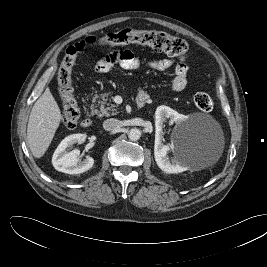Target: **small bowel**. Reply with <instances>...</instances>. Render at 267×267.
Listing matches in <instances>:
<instances>
[{
    "label": "small bowel",
    "mask_w": 267,
    "mask_h": 267,
    "mask_svg": "<svg viewBox=\"0 0 267 267\" xmlns=\"http://www.w3.org/2000/svg\"><path fill=\"white\" fill-rule=\"evenodd\" d=\"M174 65L170 58L151 60L147 67L153 71H165ZM120 66L127 70H136L141 66L139 59L129 50H112L96 62L94 70L98 74L109 72L113 67ZM188 67L185 64H177L174 69L170 90L173 92L182 91L187 85ZM146 94L143 90L139 94Z\"/></svg>",
    "instance_id": "small-bowel-1"
}]
</instances>
